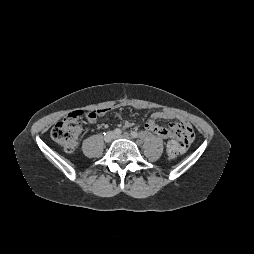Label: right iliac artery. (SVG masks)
Returning <instances> with one entry per match:
<instances>
[{"label": "right iliac artery", "mask_w": 254, "mask_h": 254, "mask_svg": "<svg viewBox=\"0 0 254 254\" xmlns=\"http://www.w3.org/2000/svg\"><path fill=\"white\" fill-rule=\"evenodd\" d=\"M122 133V131H121V129H119V128H116L115 130H114V134H116V135H120Z\"/></svg>", "instance_id": "82829eb1"}]
</instances>
